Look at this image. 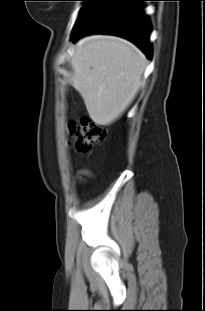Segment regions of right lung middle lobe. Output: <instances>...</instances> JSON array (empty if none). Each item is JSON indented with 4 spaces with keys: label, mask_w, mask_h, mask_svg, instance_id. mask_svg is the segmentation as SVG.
I'll return each instance as SVG.
<instances>
[{
    "label": "right lung middle lobe",
    "mask_w": 205,
    "mask_h": 311,
    "mask_svg": "<svg viewBox=\"0 0 205 311\" xmlns=\"http://www.w3.org/2000/svg\"><path fill=\"white\" fill-rule=\"evenodd\" d=\"M83 1H87L88 3L82 8V10H81V12H80V14H79V17H78V19L80 18V16L83 14V12H84V10H85V8L87 7V5L89 4V2L91 1V0H83ZM78 19H77V21H78Z\"/></svg>",
    "instance_id": "dd1d6c3e"
}]
</instances>
